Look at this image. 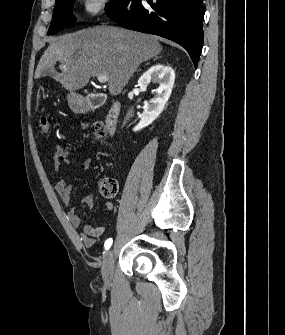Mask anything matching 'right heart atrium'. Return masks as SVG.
<instances>
[{"label":"right heart atrium","instance_id":"obj_1","mask_svg":"<svg viewBox=\"0 0 285 335\" xmlns=\"http://www.w3.org/2000/svg\"><path fill=\"white\" fill-rule=\"evenodd\" d=\"M100 6H101V4L96 2V1H89V2L85 3V5L83 7V12L85 14H94L98 11Z\"/></svg>","mask_w":285,"mask_h":335}]
</instances>
